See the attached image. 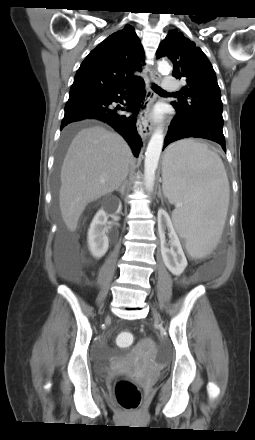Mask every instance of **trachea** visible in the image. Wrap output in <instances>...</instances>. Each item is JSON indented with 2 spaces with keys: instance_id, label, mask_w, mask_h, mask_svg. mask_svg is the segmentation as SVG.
<instances>
[{
  "instance_id": "1",
  "label": "trachea",
  "mask_w": 255,
  "mask_h": 440,
  "mask_svg": "<svg viewBox=\"0 0 255 440\" xmlns=\"http://www.w3.org/2000/svg\"><path fill=\"white\" fill-rule=\"evenodd\" d=\"M153 89L156 93L158 94H168L166 91H164L162 88H160L159 86L153 84ZM179 93H173V95H178Z\"/></svg>"
}]
</instances>
